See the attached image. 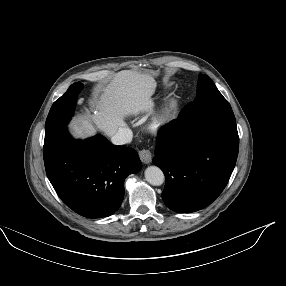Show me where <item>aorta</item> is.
Listing matches in <instances>:
<instances>
[{
	"label": "aorta",
	"mask_w": 286,
	"mask_h": 286,
	"mask_svg": "<svg viewBox=\"0 0 286 286\" xmlns=\"http://www.w3.org/2000/svg\"><path fill=\"white\" fill-rule=\"evenodd\" d=\"M145 179L154 186H160L164 183L165 177L160 168L157 166H149L145 170Z\"/></svg>",
	"instance_id": "762f6f07"
}]
</instances>
